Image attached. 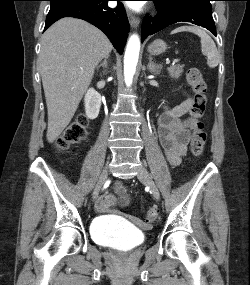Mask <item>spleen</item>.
<instances>
[{
  "instance_id": "3e777b00",
  "label": "spleen",
  "mask_w": 250,
  "mask_h": 285,
  "mask_svg": "<svg viewBox=\"0 0 250 285\" xmlns=\"http://www.w3.org/2000/svg\"><path fill=\"white\" fill-rule=\"evenodd\" d=\"M192 32L201 38V50L207 57V65L215 68L219 64L220 55L212 38L201 28L195 26H182L174 29L171 33Z\"/></svg>"
}]
</instances>
